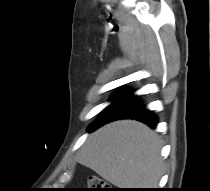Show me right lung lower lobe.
Masks as SVG:
<instances>
[{
  "label": "right lung lower lobe",
  "mask_w": 210,
  "mask_h": 191,
  "mask_svg": "<svg viewBox=\"0 0 210 191\" xmlns=\"http://www.w3.org/2000/svg\"><path fill=\"white\" fill-rule=\"evenodd\" d=\"M112 100L113 102L102 111L96 123L90 128V132L117 119H135L152 128L156 127L157 117L152 111L147 110L144 105L140 104L133 91L121 90L113 96Z\"/></svg>",
  "instance_id": "98d812e1"
}]
</instances>
